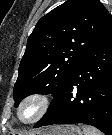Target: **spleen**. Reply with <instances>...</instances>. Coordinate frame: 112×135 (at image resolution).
<instances>
[{
    "label": "spleen",
    "instance_id": "spleen-1",
    "mask_svg": "<svg viewBox=\"0 0 112 135\" xmlns=\"http://www.w3.org/2000/svg\"><path fill=\"white\" fill-rule=\"evenodd\" d=\"M84 135H103L101 132L92 127H83Z\"/></svg>",
    "mask_w": 112,
    "mask_h": 135
}]
</instances>
